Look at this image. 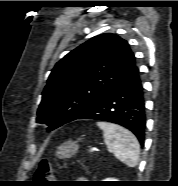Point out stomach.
Returning a JSON list of instances; mask_svg holds the SVG:
<instances>
[{
	"instance_id": "obj_1",
	"label": "stomach",
	"mask_w": 178,
	"mask_h": 186,
	"mask_svg": "<svg viewBox=\"0 0 178 186\" xmlns=\"http://www.w3.org/2000/svg\"><path fill=\"white\" fill-rule=\"evenodd\" d=\"M79 146L74 141H67L61 144L57 151L56 156L60 159L70 158L78 152Z\"/></svg>"
}]
</instances>
